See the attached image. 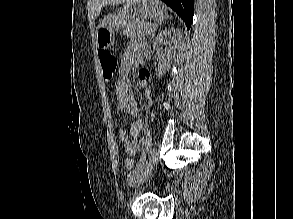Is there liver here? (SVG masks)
Returning a JSON list of instances; mask_svg holds the SVG:
<instances>
[{"instance_id":"1","label":"liver","mask_w":293,"mask_h":219,"mask_svg":"<svg viewBox=\"0 0 293 219\" xmlns=\"http://www.w3.org/2000/svg\"><path fill=\"white\" fill-rule=\"evenodd\" d=\"M133 0H93V16L97 18L101 12V9L106 5H118L121 3H129Z\"/></svg>"}]
</instances>
